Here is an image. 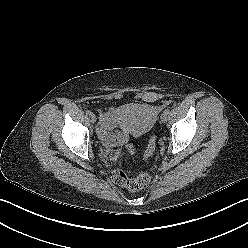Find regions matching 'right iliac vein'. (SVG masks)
Segmentation results:
<instances>
[{
  "instance_id": "right-iliac-vein-1",
  "label": "right iliac vein",
  "mask_w": 248,
  "mask_h": 248,
  "mask_svg": "<svg viewBox=\"0 0 248 248\" xmlns=\"http://www.w3.org/2000/svg\"><path fill=\"white\" fill-rule=\"evenodd\" d=\"M90 121H91L92 123H95V122H96V116H95L94 114H91V115H90Z\"/></svg>"
}]
</instances>
